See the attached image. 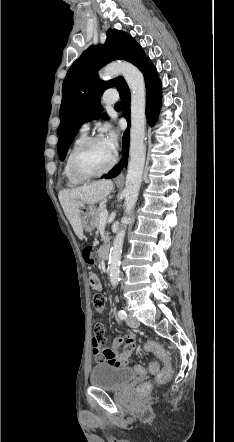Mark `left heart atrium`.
Instances as JSON below:
<instances>
[{
  "label": "left heart atrium",
  "mask_w": 234,
  "mask_h": 442,
  "mask_svg": "<svg viewBox=\"0 0 234 442\" xmlns=\"http://www.w3.org/2000/svg\"><path fill=\"white\" fill-rule=\"evenodd\" d=\"M103 141L105 142V144L108 147V149L112 153H114L116 151L117 143H118L117 132L114 129H112V128H108L107 131H106V135L103 138Z\"/></svg>",
  "instance_id": "39dd6f15"
}]
</instances>
